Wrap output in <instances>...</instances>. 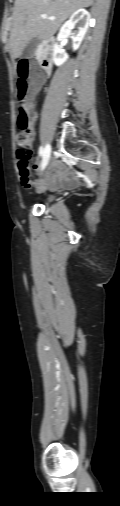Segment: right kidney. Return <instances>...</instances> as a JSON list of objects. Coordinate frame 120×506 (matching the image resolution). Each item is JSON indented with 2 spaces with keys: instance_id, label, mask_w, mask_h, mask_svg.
<instances>
[{
  "instance_id": "ca27d5eb",
  "label": "right kidney",
  "mask_w": 120,
  "mask_h": 506,
  "mask_svg": "<svg viewBox=\"0 0 120 506\" xmlns=\"http://www.w3.org/2000/svg\"><path fill=\"white\" fill-rule=\"evenodd\" d=\"M90 18L91 17L89 12L85 9L76 10L71 15L70 19L61 27L60 32L57 36V40L61 41L62 39L70 36L73 43V50H77L80 47L81 42L87 32ZM75 26H77V30L73 32L72 30ZM67 59L68 54L59 45L56 44L54 46L53 52V61L55 65L60 66L65 63Z\"/></svg>"
}]
</instances>
